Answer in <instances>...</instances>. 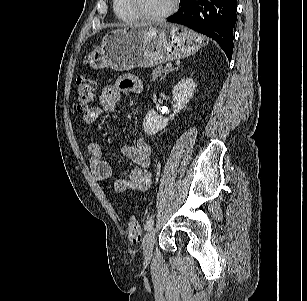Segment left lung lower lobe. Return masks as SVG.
Masks as SVG:
<instances>
[{
    "instance_id": "0a47b994",
    "label": "left lung lower lobe",
    "mask_w": 307,
    "mask_h": 301,
    "mask_svg": "<svg viewBox=\"0 0 307 301\" xmlns=\"http://www.w3.org/2000/svg\"><path fill=\"white\" fill-rule=\"evenodd\" d=\"M180 5L179 12L167 21L183 24L214 39L231 60L237 0H180Z\"/></svg>"
}]
</instances>
